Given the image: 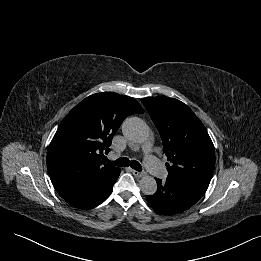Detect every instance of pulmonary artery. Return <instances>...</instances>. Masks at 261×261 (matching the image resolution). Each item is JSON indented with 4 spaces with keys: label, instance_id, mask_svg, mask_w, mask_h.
<instances>
[{
    "label": "pulmonary artery",
    "instance_id": "obj_1",
    "mask_svg": "<svg viewBox=\"0 0 261 261\" xmlns=\"http://www.w3.org/2000/svg\"><path fill=\"white\" fill-rule=\"evenodd\" d=\"M144 149V163L147 169L156 177L163 178L166 176L167 172L158 160L156 156L152 153L151 143H146L143 147Z\"/></svg>",
    "mask_w": 261,
    "mask_h": 261
}]
</instances>
